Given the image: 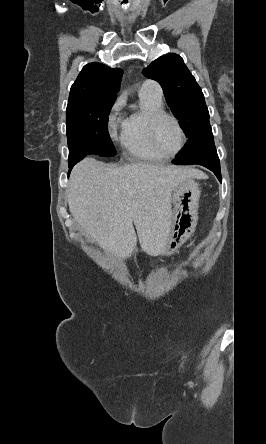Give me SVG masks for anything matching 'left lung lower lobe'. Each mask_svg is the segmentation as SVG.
I'll return each mask as SVG.
<instances>
[{
  "mask_svg": "<svg viewBox=\"0 0 266 444\" xmlns=\"http://www.w3.org/2000/svg\"><path fill=\"white\" fill-rule=\"evenodd\" d=\"M176 165L199 164L213 171L221 182L220 161L216 152L211 127L190 138L185 148L172 161Z\"/></svg>",
  "mask_w": 266,
  "mask_h": 444,
  "instance_id": "left-lung-lower-lobe-1",
  "label": "left lung lower lobe"
}]
</instances>
